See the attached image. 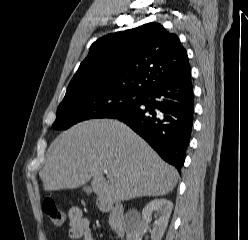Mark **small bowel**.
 Segmentation results:
<instances>
[{
	"label": "small bowel",
	"instance_id": "c3829d8e",
	"mask_svg": "<svg viewBox=\"0 0 248 240\" xmlns=\"http://www.w3.org/2000/svg\"><path fill=\"white\" fill-rule=\"evenodd\" d=\"M69 237L72 240H95L92 234L91 223L84 217L79 207H72L68 212Z\"/></svg>",
	"mask_w": 248,
	"mask_h": 240
}]
</instances>
